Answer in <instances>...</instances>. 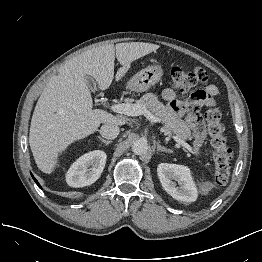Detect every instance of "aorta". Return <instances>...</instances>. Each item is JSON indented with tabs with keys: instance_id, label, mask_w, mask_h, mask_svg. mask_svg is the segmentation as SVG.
<instances>
[{
	"instance_id": "aorta-1",
	"label": "aorta",
	"mask_w": 262,
	"mask_h": 262,
	"mask_svg": "<svg viewBox=\"0 0 262 262\" xmlns=\"http://www.w3.org/2000/svg\"><path fill=\"white\" fill-rule=\"evenodd\" d=\"M148 150V144L147 141L144 139H138L133 142L132 145V151L136 155H144Z\"/></svg>"
}]
</instances>
